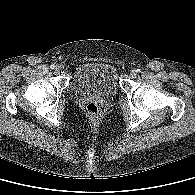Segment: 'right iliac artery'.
I'll return each instance as SVG.
<instances>
[{"label": "right iliac artery", "mask_w": 195, "mask_h": 195, "mask_svg": "<svg viewBox=\"0 0 195 195\" xmlns=\"http://www.w3.org/2000/svg\"><path fill=\"white\" fill-rule=\"evenodd\" d=\"M50 68H51V69H55V65L52 64V65L50 66Z\"/></svg>", "instance_id": "right-iliac-artery-1"}]
</instances>
